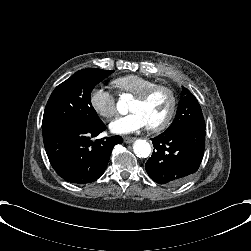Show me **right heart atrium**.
<instances>
[{
  "instance_id": "right-heart-atrium-1",
  "label": "right heart atrium",
  "mask_w": 251,
  "mask_h": 251,
  "mask_svg": "<svg viewBox=\"0 0 251 251\" xmlns=\"http://www.w3.org/2000/svg\"><path fill=\"white\" fill-rule=\"evenodd\" d=\"M88 100L92 110L102 117L109 118L116 113V97L104 87H92L89 92Z\"/></svg>"
}]
</instances>
